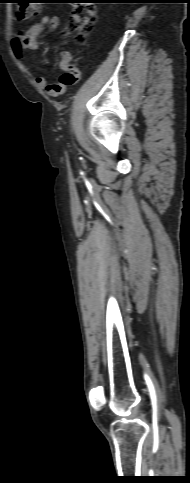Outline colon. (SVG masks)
Here are the masks:
<instances>
[{
    "instance_id": "5ec220e1",
    "label": "colon",
    "mask_w": 190,
    "mask_h": 483,
    "mask_svg": "<svg viewBox=\"0 0 190 483\" xmlns=\"http://www.w3.org/2000/svg\"><path fill=\"white\" fill-rule=\"evenodd\" d=\"M19 6L16 11V16L19 19H31L35 17L40 8L39 0H19ZM96 22V8L93 4L86 2H77L72 9V15L67 21V32L74 36V38L83 42L87 34L92 30ZM76 82L72 73L66 72L57 83V89L62 90L67 86L73 85Z\"/></svg>"
}]
</instances>
